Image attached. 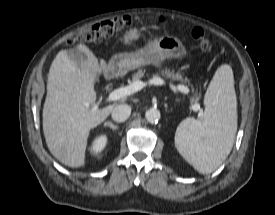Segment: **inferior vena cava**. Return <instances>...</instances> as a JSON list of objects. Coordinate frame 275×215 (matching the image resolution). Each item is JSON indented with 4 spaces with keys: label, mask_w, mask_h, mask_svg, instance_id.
Wrapping results in <instances>:
<instances>
[{
    "label": "inferior vena cava",
    "mask_w": 275,
    "mask_h": 215,
    "mask_svg": "<svg viewBox=\"0 0 275 215\" xmlns=\"http://www.w3.org/2000/svg\"><path fill=\"white\" fill-rule=\"evenodd\" d=\"M131 114V107L128 104H119L112 110V118L116 122H125Z\"/></svg>",
    "instance_id": "602c4592"
}]
</instances>
